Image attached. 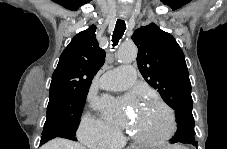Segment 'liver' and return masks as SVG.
Returning a JSON list of instances; mask_svg holds the SVG:
<instances>
[{
    "label": "liver",
    "mask_w": 227,
    "mask_h": 149,
    "mask_svg": "<svg viewBox=\"0 0 227 149\" xmlns=\"http://www.w3.org/2000/svg\"><path fill=\"white\" fill-rule=\"evenodd\" d=\"M42 149H85V147L73 141L57 138L42 146Z\"/></svg>",
    "instance_id": "obj_1"
}]
</instances>
